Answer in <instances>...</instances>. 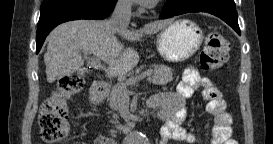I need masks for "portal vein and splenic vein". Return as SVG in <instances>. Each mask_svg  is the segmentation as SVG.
I'll use <instances>...</instances> for the list:
<instances>
[{
  "instance_id": "1",
  "label": "portal vein and splenic vein",
  "mask_w": 273,
  "mask_h": 144,
  "mask_svg": "<svg viewBox=\"0 0 273 144\" xmlns=\"http://www.w3.org/2000/svg\"><path fill=\"white\" fill-rule=\"evenodd\" d=\"M83 53H84V56H85V57L88 56V52L84 51ZM91 64H92L93 66H95V67H99V65H100L99 59H98L97 57L91 58ZM151 75H152V71H146V72L142 73L141 75H139V76L137 77V80H138V81H139V80H142L143 78H145V77H150ZM137 80H136V81H137Z\"/></svg>"
}]
</instances>
